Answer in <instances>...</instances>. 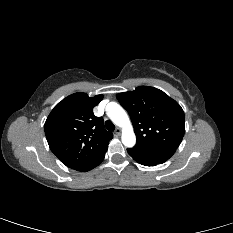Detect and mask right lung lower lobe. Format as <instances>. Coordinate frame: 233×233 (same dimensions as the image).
<instances>
[{
    "label": "right lung lower lobe",
    "instance_id": "98d812e1",
    "mask_svg": "<svg viewBox=\"0 0 233 233\" xmlns=\"http://www.w3.org/2000/svg\"><path fill=\"white\" fill-rule=\"evenodd\" d=\"M104 156H105V153L95 163H93L88 169H86L85 171H89V170L95 168L96 166H98L103 161Z\"/></svg>",
    "mask_w": 233,
    "mask_h": 233
}]
</instances>
